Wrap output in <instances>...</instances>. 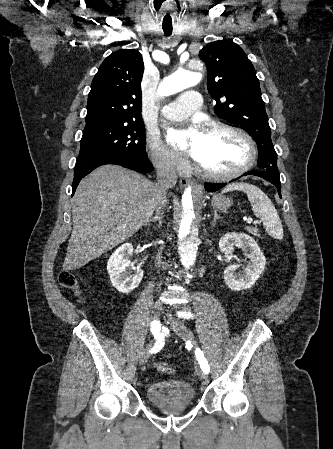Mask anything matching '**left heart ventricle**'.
Returning <instances> with one entry per match:
<instances>
[{
    "instance_id": "b2bd125f",
    "label": "left heart ventricle",
    "mask_w": 333,
    "mask_h": 449,
    "mask_svg": "<svg viewBox=\"0 0 333 449\" xmlns=\"http://www.w3.org/2000/svg\"><path fill=\"white\" fill-rule=\"evenodd\" d=\"M196 161L209 171L224 173L239 168L247 159V146L226 132H204Z\"/></svg>"
}]
</instances>
